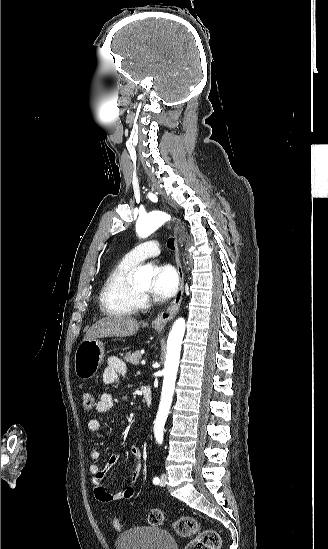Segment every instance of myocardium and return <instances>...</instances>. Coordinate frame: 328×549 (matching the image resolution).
I'll return each instance as SVG.
<instances>
[{
  "label": "myocardium",
  "mask_w": 328,
  "mask_h": 549,
  "mask_svg": "<svg viewBox=\"0 0 328 549\" xmlns=\"http://www.w3.org/2000/svg\"><path fill=\"white\" fill-rule=\"evenodd\" d=\"M153 264L152 263H144V264H139L138 267L136 268L137 270L140 269V268H145V267H152ZM130 293L131 295L138 301L139 304H136V305H132L133 308L135 309H141L143 307L146 306V303L148 301V293H144L142 292L137 286L136 284L134 283L133 280H131L130 282Z\"/></svg>",
  "instance_id": "1"
}]
</instances>
